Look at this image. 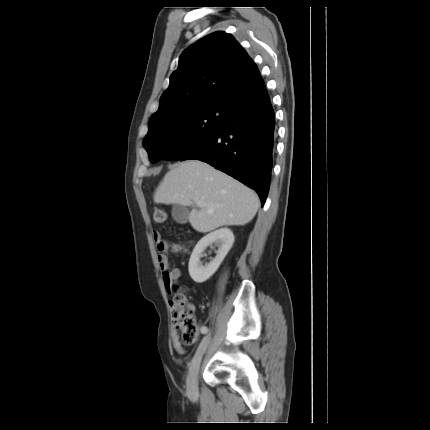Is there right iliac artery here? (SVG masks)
<instances>
[{"label":"right iliac artery","mask_w":430,"mask_h":430,"mask_svg":"<svg viewBox=\"0 0 430 430\" xmlns=\"http://www.w3.org/2000/svg\"><path fill=\"white\" fill-rule=\"evenodd\" d=\"M201 334H202V335H205V334H206V331H205V330H202V331H201Z\"/></svg>","instance_id":"82829eb1"}]
</instances>
